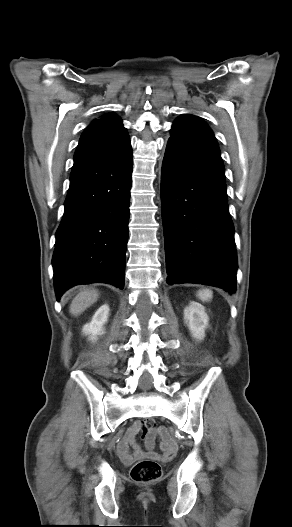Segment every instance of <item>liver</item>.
Returning <instances> with one entry per match:
<instances>
[{"label": "liver", "mask_w": 292, "mask_h": 527, "mask_svg": "<svg viewBox=\"0 0 292 527\" xmlns=\"http://www.w3.org/2000/svg\"><path fill=\"white\" fill-rule=\"evenodd\" d=\"M99 297V293L96 289L86 288L79 292L72 300L70 305V313L73 316H77L85 311L88 307L93 305Z\"/></svg>", "instance_id": "1"}]
</instances>
